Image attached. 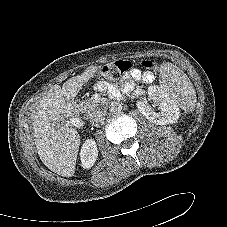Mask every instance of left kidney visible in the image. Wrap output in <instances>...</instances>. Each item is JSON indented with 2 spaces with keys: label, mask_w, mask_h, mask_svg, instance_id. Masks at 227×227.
Instances as JSON below:
<instances>
[{
  "label": "left kidney",
  "mask_w": 227,
  "mask_h": 227,
  "mask_svg": "<svg viewBox=\"0 0 227 227\" xmlns=\"http://www.w3.org/2000/svg\"><path fill=\"white\" fill-rule=\"evenodd\" d=\"M148 95L160 112L154 109L145 100L137 101L136 106L140 113L150 122L157 125L176 123L180 117L179 108L175 100L159 86H149Z\"/></svg>",
  "instance_id": "left-kidney-1"
}]
</instances>
